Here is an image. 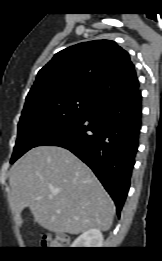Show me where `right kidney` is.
<instances>
[{
	"mask_svg": "<svg viewBox=\"0 0 162 261\" xmlns=\"http://www.w3.org/2000/svg\"><path fill=\"white\" fill-rule=\"evenodd\" d=\"M103 235L99 229L93 228L81 234L71 245L72 248H100Z\"/></svg>",
	"mask_w": 162,
	"mask_h": 261,
	"instance_id": "right-kidney-1",
	"label": "right kidney"
}]
</instances>
